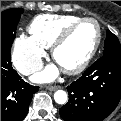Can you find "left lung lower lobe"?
Instances as JSON below:
<instances>
[{
    "instance_id": "1",
    "label": "left lung lower lobe",
    "mask_w": 121,
    "mask_h": 121,
    "mask_svg": "<svg viewBox=\"0 0 121 121\" xmlns=\"http://www.w3.org/2000/svg\"><path fill=\"white\" fill-rule=\"evenodd\" d=\"M69 100L59 109L65 121H102L121 97V54H107L67 87Z\"/></svg>"
}]
</instances>
